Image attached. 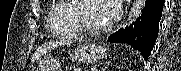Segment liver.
I'll return each mask as SVG.
<instances>
[{"label": "liver", "mask_w": 181, "mask_h": 71, "mask_svg": "<svg viewBox=\"0 0 181 71\" xmlns=\"http://www.w3.org/2000/svg\"><path fill=\"white\" fill-rule=\"evenodd\" d=\"M67 44L66 42H54V41H50L48 43H45L44 45H42L41 47H39L37 49V51L35 52L34 56L32 57V61H36L38 60L45 52L52 50L54 48H57L58 46H62Z\"/></svg>", "instance_id": "liver-1"}]
</instances>
